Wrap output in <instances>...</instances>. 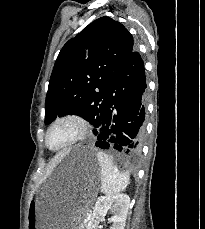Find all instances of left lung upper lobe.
I'll return each instance as SVG.
<instances>
[{"label":"left lung upper lobe","mask_w":205,"mask_h":229,"mask_svg":"<svg viewBox=\"0 0 205 229\" xmlns=\"http://www.w3.org/2000/svg\"><path fill=\"white\" fill-rule=\"evenodd\" d=\"M133 37L119 22L101 17L70 39L55 62L45 102V124L76 114L98 128L108 91L133 51ZM98 130L94 129V134Z\"/></svg>","instance_id":"5c2ea615"}]
</instances>
